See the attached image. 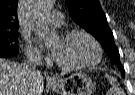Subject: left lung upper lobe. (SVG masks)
I'll use <instances>...</instances> for the list:
<instances>
[{
    "instance_id": "1",
    "label": "left lung upper lobe",
    "mask_w": 135,
    "mask_h": 95,
    "mask_svg": "<svg viewBox=\"0 0 135 95\" xmlns=\"http://www.w3.org/2000/svg\"><path fill=\"white\" fill-rule=\"evenodd\" d=\"M66 2L74 22L92 34L105 49L111 61L117 64L119 70H123L113 33L107 24L99 0H66Z\"/></svg>"
}]
</instances>
